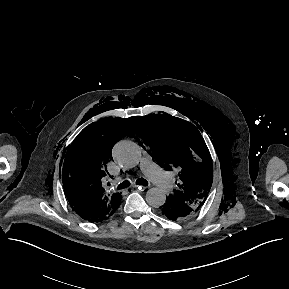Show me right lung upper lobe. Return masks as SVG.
Masks as SVG:
<instances>
[{
	"label": "right lung upper lobe",
	"instance_id": "right-lung-upper-lobe-1",
	"mask_svg": "<svg viewBox=\"0 0 289 289\" xmlns=\"http://www.w3.org/2000/svg\"><path fill=\"white\" fill-rule=\"evenodd\" d=\"M130 118H110L84 129L71 144L63 164V186L72 209L84 220L100 222L111 216L121 204L119 193L107 194L101 179L111 149L131 127Z\"/></svg>",
	"mask_w": 289,
	"mask_h": 289
}]
</instances>
